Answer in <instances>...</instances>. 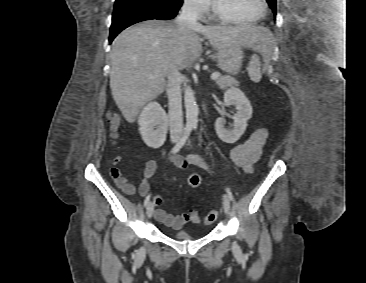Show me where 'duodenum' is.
I'll list each match as a JSON object with an SVG mask.
<instances>
[{"mask_svg": "<svg viewBox=\"0 0 366 283\" xmlns=\"http://www.w3.org/2000/svg\"><path fill=\"white\" fill-rule=\"evenodd\" d=\"M207 110H208L207 105H204V111H205V114H207Z\"/></svg>", "mask_w": 366, "mask_h": 283, "instance_id": "410a0bca", "label": "duodenum"}]
</instances>
